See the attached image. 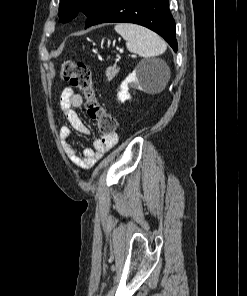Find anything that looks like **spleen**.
Instances as JSON below:
<instances>
[{"mask_svg": "<svg viewBox=\"0 0 247 296\" xmlns=\"http://www.w3.org/2000/svg\"><path fill=\"white\" fill-rule=\"evenodd\" d=\"M114 29L126 40V47L132 53L149 58L161 55L166 51L165 41L145 27L119 23Z\"/></svg>", "mask_w": 247, "mask_h": 296, "instance_id": "3e777b00", "label": "spleen"}]
</instances>
